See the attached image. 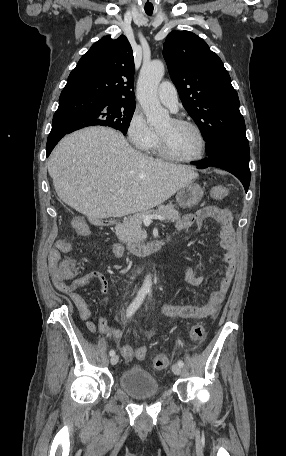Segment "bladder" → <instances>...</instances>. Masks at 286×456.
Masks as SVG:
<instances>
[{
	"mask_svg": "<svg viewBox=\"0 0 286 456\" xmlns=\"http://www.w3.org/2000/svg\"><path fill=\"white\" fill-rule=\"evenodd\" d=\"M119 385L124 392L137 400H145L161 394L157 379L137 365L128 368L120 375Z\"/></svg>",
	"mask_w": 286,
	"mask_h": 456,
	"instance_id": "1",
	"label": "bladder"
}]
</instances>
